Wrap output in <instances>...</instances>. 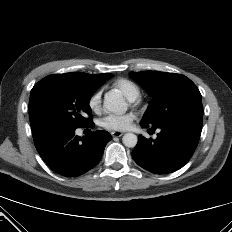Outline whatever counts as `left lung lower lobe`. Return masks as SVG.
I'll use <instances>...</instances> for the list:
<instances>
[{
  "label": "left lung lower lobe",
  "instance_id": "1",
  "mask_svg": "<svg viewBox=\"0 0 232 232\" xmlns=\"http://www.w3.org/2000/svg\"><path fill=\"white\" fill-rule=\"evenodd\" d=\"M202 119L200 113L177 116L157 126L161 131L156 140L139 135L132 151L134 161L155 174L180 169L190 160L198 145ZM140 124L142 127L149 126L142 122Z\"/></svg>",
  "mask_w": 232,
  "mask_h": 232
}]
</instances>
